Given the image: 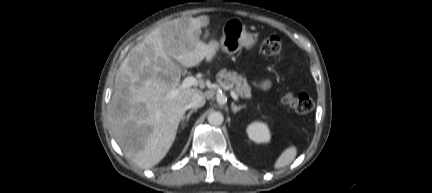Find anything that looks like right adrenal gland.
I'll return each mask as SVG.
<instances>
[{"label":"right adrenal gland","instance_id":"1","mask_svg":"<svg viewBox=\"0 0 432 193\" xmlns=\"http://www.w3.org/2000/svg\"><path fill=\"white\" fill-rule=\"evenodd\" d=\"M196 111H197V109H191L187 115H184L182 117V124L181 125H182L183 128L185 127V123H187L189 121L190 116L192 115V113H194ZM184 121H185V123H184Z\"/></svg>","mask_w":432,"mask_h":193}]
</instances>
